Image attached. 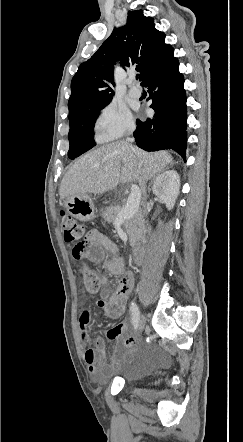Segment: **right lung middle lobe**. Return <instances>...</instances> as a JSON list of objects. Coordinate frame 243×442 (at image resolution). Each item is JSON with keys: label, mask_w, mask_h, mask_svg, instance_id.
Segmentation results:
<instances>
[{"label": "right lung middle lobe", "mask_w": 243, "mask_h": 442, "mask_svg": "<svg viewBox=\"0 0 243 442\" xmlns=\"http://www.w3.org/2000/svg\"><path fill=\"white\" fill-rule=\"evenodd\" d=\"M108 103L84 112L70 121L68 157L74 159L95 146L93 128L99 112Z\"/></svg>", "instance_id": "1"}]
</instances>
